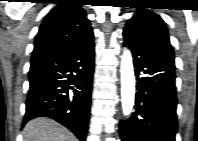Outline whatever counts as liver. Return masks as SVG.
<instances>
[{"mask_svg":"<svg viewBox=\"0 0 198 141\" xmlns=\"http://www.w3.org/2000/svg\"><path fill=\"white\" fill-rule=\"evenodd\" d=\"M24 141H77V138L56 121L41 117L29 121L23 130Z\"/></svg>","mask_w":198,"mask_h":141,"instance_id":"1","label":"liver"}]
</instances>
